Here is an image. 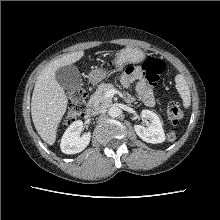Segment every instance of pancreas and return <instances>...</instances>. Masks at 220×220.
Returning <instances> with one entry per match:
<instances>
[{"label": "pancreas", "instance_id": "1", "mask_svg": "<svg viewBox=\"0 0 220 220\" xmlns=\"http://www.w3.org/2000/svg\"><path fill=\"white\" fill-rule=\"evenodd\" d=\"M112 84L102 83L90 98V105L94 108H106L112 102L111 98L106 97V92L112 90Z\"/></svg>", "mask_w": 220, "mask_h": 220}]
</instances>
